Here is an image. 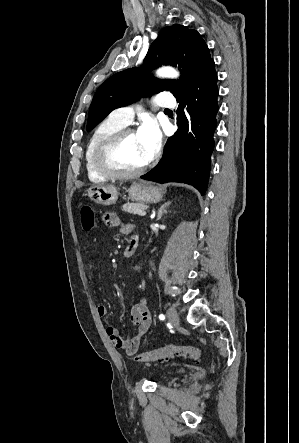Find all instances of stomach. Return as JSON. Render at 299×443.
<instances>
[{
	"label": "stomach",
	"mask_w": 299,
	"mask_h": 443,
	"mask_svg": "<svg viewBox=\"0 0 299 443\" xmlns=\"http://www.w3.org/2000/svg\"><path fill=\"white\" fill-rule=\"evenodd\" d=\"M88 197L97 204H115L119 192L115 186L94 185L87 190ZM129 198L139 203L159 202L162 198L161 190L147 182H135L128 189Z\"/></svg>",
	"instance_id": "1"
}]
</instances>
